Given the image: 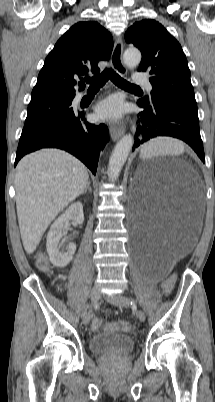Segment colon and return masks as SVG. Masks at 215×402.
I'll return each mask as SVG.
<instances>
[{"label": "colon", "instance_id": "obj_1", "mask_svg": "<svg viewBox=\"0 0 215 402\" xmlns=\"http://www.w3.org/2000/svg\"><path fill=\"white\" fill-rule=\"evenodd\" d=\"M38 266L41 269L46 270L47 263L44 258H40L38 260ZM173 286H174L173 278H169L166 281H164L162 284L163 289H161L159 292L160 297L161 298H170L172 295L171 290L173 289ZM103 327H104V322L102 319L96 318L92 321V330L93 331H95V332L100 331ZM109 327L112 330H117V331H121V332H131L133 329V327L130 323L124 322V321L111 324Z\"/></svg>", "mask_w": 215, "mask_h": 402}]
</instances>
